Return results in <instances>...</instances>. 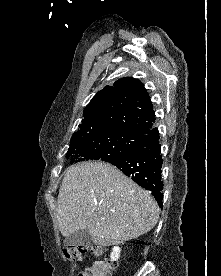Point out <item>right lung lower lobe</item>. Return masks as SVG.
Here are the masks:
<instances>
[{
  "instance_id": "1",
  "label": "right lung lower lobe",
  "mask_w": 221,
  "mask_h": 276,
  "mask_svg": "<svg viewBox=\"0 0 221 276\" xmlns=\"http://www.w3.org/2000/svg\"><path fill=\"white\" fill-rule=\"evenodd\" d=\"M160 150L158 129L152 128L138 147L128 155L109 163L115 165L141 187L151 191L158 205L162 208L163 181L161 180L162 158Z\"/></svg>"
}]
</instances>
